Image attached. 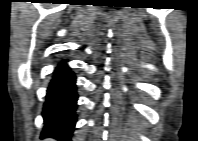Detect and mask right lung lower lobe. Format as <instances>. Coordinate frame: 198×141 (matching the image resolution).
<instances>
[{"label":"right lung lower lobe","mask_w":198,"mask_h":141,"mask_svg":"<svg viewBox=\"0 0 198 141\" xmlns=\"http://www.w3.org/2000/svg\"><path fill=\"white\" fill-rule=\"evenodd\" d=\"M77 100L76 76L63 60L55 67L48 85L42 138L70 139L77 121Z\"/></svg>","instance_id":"1"}]
</instances>
